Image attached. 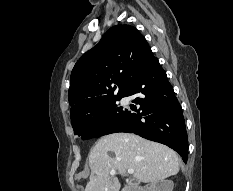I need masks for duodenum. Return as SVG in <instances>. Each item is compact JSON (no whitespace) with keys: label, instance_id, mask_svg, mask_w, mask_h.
I'll return each mask as SVG.
<instances>
[{"label":"duodenum","instance_id":"duodenum-1","mask_svg":"<svg viewBox=\"0 0 233 191\" xmlns=\"http://www.w3.org/2000/svg\"><path fill=\"white\" fill-rule=\"evenodd\" d=\"M127 191H142L139 187H129Z\"/></svg>","mask_w":233,"mask_h":191}]
</instances>
